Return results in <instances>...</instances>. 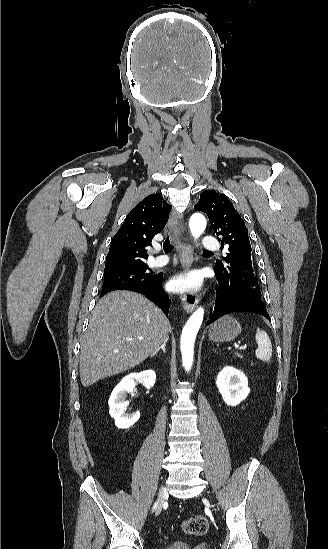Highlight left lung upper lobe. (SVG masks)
I'll return each instance as SVG.
<instances>
[{"instance_id": "left-lung-upper-lobe-1", "label": "left lung upper lobe", "mask_w": 328, "mask_h": 549, "mask_svg": "<svg viewBox=\"0 0 328 549\" xmlns=\"http://www.w3.org/2000/svg\"><path fill=\"white\" fill-rule=\"evenodd\" d=\"M194 208L208 215L213 231L221 237L222 248H228L223 261L216 260L215 273L227 281L255 285L258 289L257 295L261 296L252 267V248L248 231L233 204L224 195L214 190H206L200 195V200Z\"/></svg>"}]
</instances>
